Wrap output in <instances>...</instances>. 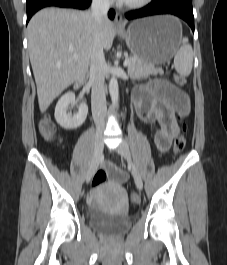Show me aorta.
I'll use <instances>...</instances> for the list:
<instances>
[{"label": "aorta", "mask_w": 227, "mask_h": 265, "mask_svg": "<svg viewBox=\"0 0 227 265\" xmlns=\"http://www.w3.org/2000/svg\"><path fill=\"white\" fill-rule=\"evenodd\" d=\"M109 93L113 106L117 107L119 103V89H118V81L115 76L111 77L110 79Z\"/></svg>", "instance_id": "aorta-1"}]
</instances>
